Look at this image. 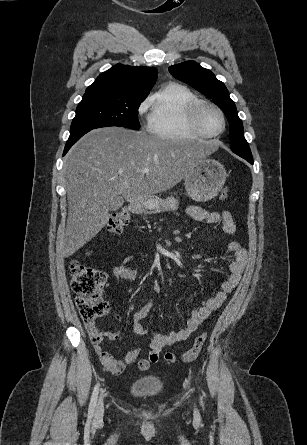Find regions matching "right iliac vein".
Masks as SVG:
<instances>
[{
  "mask_svg": "<svg viewBox=\"0 0 307 445\" xmlns=\"http://www.w3.org/2000/svg\"><path fill=\"white\" fill-rule=\"evenodd\" d=\"M104 413V406H103V397L100 396L97 406H96V412H95V418L97 420L101 419Z\"/></svg>",
  "mask_w": 307,
  "mask_h": 445,
  "instance_id": "right-iliac-vein-1",
  "label": "right iliac vein"
}]
</instances>
